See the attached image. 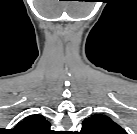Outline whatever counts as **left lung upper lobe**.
Listing matches in <instances>:
<instances>
[{"mask_svg":"<svg viewBox=\"0 0 137 134\" xmlns=\"http://www.w3.org/2000/svg\"><path fill=\"white\" fill-rule=\"evenodd\" d=\"M81 134H126V131L108 116L94 114L82 123Z\"/></svg>","mask_w":137,"mask_h":134,"instance_id":"5c2ea615","label":"left lung upper lobe"}]
</instances>
